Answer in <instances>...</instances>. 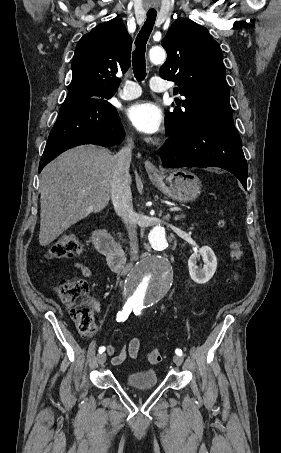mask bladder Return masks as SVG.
Wrapping results in <instances>:
<instances>
[{
    "label": "bladder",
    "instance_id": "31cf9c89",
    "mask_svg": "<svg viewBox=\"0 0 281 453\" xmlns=\"http://www.w3.org/2000/svg\"><path fill=\"white\" fill-rule=\"evenodd\" d=\"M125 381L134 388H150L157 384L158 377L154 370H143L127 374Z\"/></svg>",
    "mask_w": 281,
    "mask_h": 453
}]
</instances>
